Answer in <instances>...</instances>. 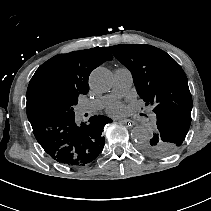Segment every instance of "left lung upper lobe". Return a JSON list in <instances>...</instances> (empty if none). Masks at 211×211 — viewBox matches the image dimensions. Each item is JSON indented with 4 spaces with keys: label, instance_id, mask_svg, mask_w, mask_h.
Returning a JSON list of instances; mask_svg holds the SVG:
<instances>
[{
    "label": "left lung upper lobe",
    "instance_id": "1",
    "mask_svg": "<svg viewBox=\"0 0 211 211\" xmlns=\"http://www.w3.org/2000/svg\"><path fill=\"white\" fill-rule=\"evenodd\" d=\"M108 49L132 73L145 105L154 107L156 132L141 145V150L158 157L176 152L191 124L192 97L184 71L171 56L154 46L119 44Z\"/></svg>",
    "mask_w": 211,
    "mask_h": 211
}]
</instances>
